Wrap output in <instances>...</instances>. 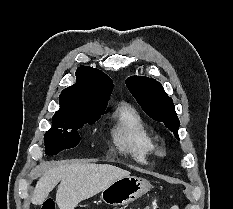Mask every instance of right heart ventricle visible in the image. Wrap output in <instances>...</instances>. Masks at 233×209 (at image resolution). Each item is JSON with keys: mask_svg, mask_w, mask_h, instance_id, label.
Listing matches in <instances>:
<instances>
[{"mask_svg": "<svg viewBox=\"0 0 233 209\" xmlns=\"http://www.w3.org/2000/svg\"><path fill=\"white\" fill-rule=\"evenodd\" d=\"M112 137L116 148L139 164H147L157 146L139 113L123 103L114 112Z\"/></svg>", "mask_w": 233, "mask_h": 209, "instance_id": "right-heart-ventricle-1", "label": "right heart ventricle"}]
</instances>
